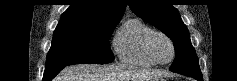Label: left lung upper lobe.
Returning <instances> with one entry per match:
<instances>
[{
	"label": "left lung upper lobe",
	"instance_id": "5c2ea615",
	"mask_svg": "<svg viewBox=\"0 0 237 81\" xmlns=\"http://www.w3.org/2000/svg\"><path fill=\"white\" fill-rule=\"evenodd\" d=\"M128 3L136 15L157 27L173 41L176 58L170 71L202 76L188 29L173 5L167 0H128Z\"/></svg>",
	"mask_w": 237,
	"mask_h": 81
}]
</instances>
